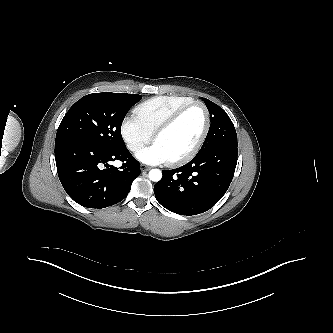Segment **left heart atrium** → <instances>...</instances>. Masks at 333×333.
<instances>
[{
    "label": "left heart atrium",
    "instance_id": "1",
    "mask_svg": "<svg viewBox=\"0 0 333 333\" xmlns=\"http://www.w3.org/2000/svg\"><path fill=\"white\" fill-rule=\"evenodd\" d=\"M136 156L140 161L152 165L168 161L167 155L157 143L140 150Z\"/></svg>",
    "mask_w": 333,
    "mask_h": 333
}]
</instances>
